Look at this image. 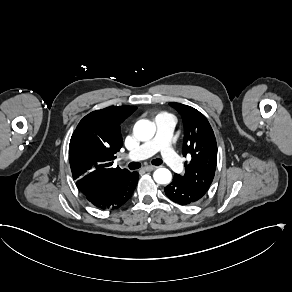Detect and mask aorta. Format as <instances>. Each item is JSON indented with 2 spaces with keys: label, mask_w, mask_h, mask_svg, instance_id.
<instances>
[{
  "label": "aorta",
  "mask_w": 292,
  "mask_h": 292,
  "mask_svg": "<svg viewBox=\"0 0 292 292\" xmlns=\"http://www.w3.org/2000/svg\"><path fill=\"white\" fill-rule=\"evenodd\" d=\"M155 126L148 120H139L134 125V135L140 141H147L154 136ZM154 180L159 184H168L172 179L171 171L167 168H158L154 172Z\"/></svg>",
  "instance_id": "1"
}]
</instances>
